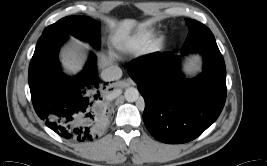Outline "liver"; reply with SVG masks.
Returning <instances> with one entry per match:
<instances>
[{"label": "liver", "mask_w": 267, "mask_h": 166, "mask_svg": "<svg viewBox=\"0 0 267 166\" xmlns=\"http://www.w3.org/2000/svg\"><path fill=\"white\" fill-rule=\"evenodd\" d=\"M136 21L132 19H125L119 23L115 34V42L119 43L124 41L129 36L131 30L135 27ZM80 57L78 52L73 48H66L62 52V62L65 65L66 69L70 71H77L80 69ZM102 66L108 65L110 61L106 59L105 56H101Z\"/></svg>", "instance_id": "6515ba94"}]
</instances>
